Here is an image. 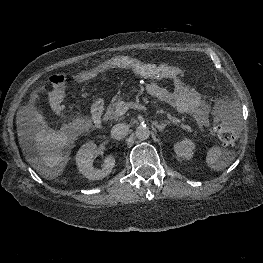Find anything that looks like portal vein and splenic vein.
<instances>
[{
    "label": "portal vein and splenic vein",
    "mask_w": 263,
    "mask_h": 263,
    "mask_svg": "<svg viewBox=\"0 0 263 263\" xmlns=\"http://www.w3.org/2000/svg\"><path fill=\"white\" fill-rule=\"evenodd\" d=\"M129 108H137L140 110H147V108L141 104L138 103H133V102H124V101H120L117 104L116 110H115V114L117 117H120L122 115H124Z\"/></svg>",
    "instance_id": "portal-vein-and-splenic-vein-1"
}]
</instances>
